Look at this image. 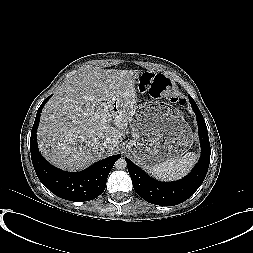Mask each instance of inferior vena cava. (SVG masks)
I'll return each mask as SVG.
<instances>
[{
	"mask_svg": "<svg viewBox=\"0 0 253 253\" xmlns=\"http://www.w3.org/2000/svg\"><path fill=\"white\" fill-rule=\"evenodd\" d=\"M112 143H113V142H112L110 139H107V140H105V141L103 142L102 145H103L104 148L107 149L109 146L112 145Z\"/></svg>",
	"mask_w": 253,
	"mask_h": 253,
	"instance_id": "602c4592",
	"label": "inferior vena cava"
}]
</instances>
